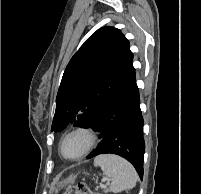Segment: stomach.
I'll return each instance as SVG.
<instances>
[{"label":"stomach","mask_w":201,"mask_h":194,"mask_svg":"<svg viewBox=\"0 0 201 194\" xmlns=\"http://www.w3.org/2000/svg\"><path fill=\"white\" fill-rule=\"evenodd\" d=\"M74 183V177H69L57 184V187L55 188V192L58 193V191L62 188H64L67 184Z\"/></svg>","instance_id":"stomach-1"}]
</instances>
